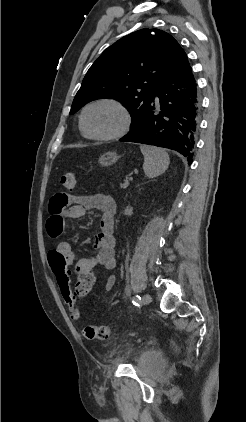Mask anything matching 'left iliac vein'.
<instances>
[{"label":"left iliac vein","instance_id":"1","mask_svg":"<svg viewBox=\"0 0 246 422\" xmlns=\"http://www.w3.org/2000/svg\"><path fill=\"white\" fill-rule=\"evenodd\" d=\"M142 302H143V304H145V305L150 304V303L152 302V297H151V295H150V294H148V293L144 294V295H143V297H142Z\"/></svg>","mask_w":246,"mask_h":422}]
</instances>
